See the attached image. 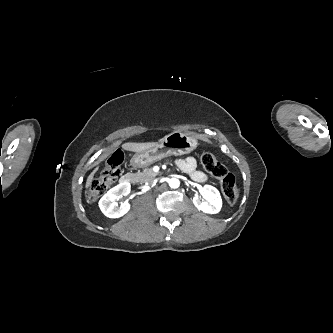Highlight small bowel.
I'll return each instance as SVG.
<instances>
[{
  "label": "small bowel",
  "mask_w": 333,
  "mask_h": 333,
  "mask_svg": "<svg viewBox=\"0 0 333 333\" xmlns=\"http://www.w3.org/2000/svg\"><path fill=\"white\" fill-rule=\"evenodd\" d=\"M177 165L181 170L189 173L192 178L198 182H204L208 179L205 173L196 170V161L193 157L179 159L177 160Z\"/></svg>",
  "instance_id": "1"
}]
</instances>
